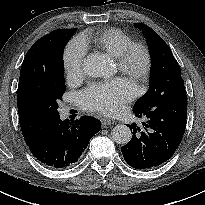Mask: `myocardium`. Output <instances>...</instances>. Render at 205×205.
<instances>
[{"mask_svg": "<svg viewBox=\"0 0 205 205\" xmlns=\"http://www.w3.org/2000/svg\"><path fill=\"white\" fill-rule=\"evenodd\" d=\"M137 55L141 57L139 67L135 65ZM121 72L132 77L139 83H144L149 78L152 70V55L149 48L141 42L131 43L116 59Z\"/></svg>", "mask_w": 205, "mask_h": 205, "instance_id": "f54148a6", "label": "myocardium"}]
</instances>
